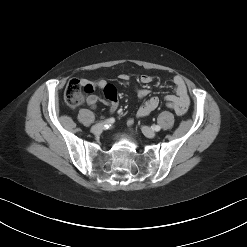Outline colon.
Here are the masks:
<instances>
[{"label":"colon","mask_w":247,"mask_h":247,"mask_svg":"<svg viewBox=\"0 0 247 247\" xmlns=\"http://www.w3.org/2000/svg\"><path fill=\"white\" fill-rule=\"evenodd\" d=\"M92 89L88 86H84L79 80H71L64 92V100L66 104L71 108H77L84 101V94L91 92ZM166 107L174 110L176 109V105L172 101L166 100Z\"/></svg>","instance_id":"1"}]
</instances>
